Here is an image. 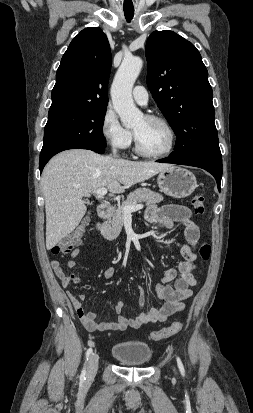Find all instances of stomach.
<instances>
[{
  "label": "stomach",
  "mask_w": 253,
  "mask_h": 413,
  "mask_svg": "<svg viewBox=\"0 0 253 413\" xmlns=\"http://www.w3.org/2000/svg\"><path fill=\"white\" fill-rule=\"evenodd\" d=\"M157 185L170 197L185 198L194 192L197 181L190 171L172 165L158 173Z\"/></svg>",
  "instance_id": "stomach-1"
}]
</instances>
